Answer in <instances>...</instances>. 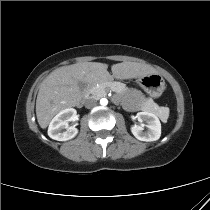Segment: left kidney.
<instances>
[{"mask_svg":"<svg viewBox=\"0 0 210 210\" xmlns=\"http://www.w3.org/2000/svg\"><path fill=\"white\" fill-rule=\"evenodd\" d=\"M138 121H145L147 131H143L144 127L139 125H134L131 127V132L140 141H156L161 136V123L159 118L150 112H138L136 115Z\"/></svg>","mask_w":210,"mask_h":210,"instance_id":"5707ae66","label":"left kidney"}]
</instances>
